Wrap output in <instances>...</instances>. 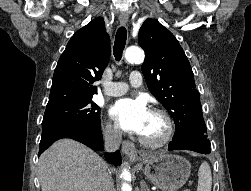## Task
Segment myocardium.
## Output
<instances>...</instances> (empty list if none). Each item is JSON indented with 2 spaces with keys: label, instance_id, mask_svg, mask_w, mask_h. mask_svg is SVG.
<instances>
[{
  "label": "myocardium",
  "instance_id": "myocardium-1",
  "mask_svg": "<svg viewBox=\"0 0 251 191\" xmlns=\"http://www.w3.org/2000/svg\"><path fill=\"white\" fill-rule=\"evenodd\" d=\"M151 114L158 116L159 118H161L163 120L164 126H165L164 135L162 136V138L160 140L152 141V140L147 139L146 137H144L141 134L139 136V141L142 145L149 147V148L163 147L171 141L173 134H174V126H173L172 118L170 117V115L166 111H164L162 109H158V108L151 110Z\"/></svg>",
  "mask_w": 251,
  "mask_h": 191
}]
</instances>
